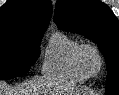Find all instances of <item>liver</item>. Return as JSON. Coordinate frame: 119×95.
<instances>
[{"label":"liver","mask_w":119,"mask_h":95,"mask_svg":"<svg viewBox=\"0 0 119 95\" xmlns=\"http://www.w3.org/2000/svg\"><path fill=\"white\" fill-rule=\"evenodd\" d=\"M49 87V92L56 95L72 94L76 88L66 84H55L50 88L45 78H35L17 86H10L5 81H0V95H41Z\"/></svg>","instance_id":"obj_1"}]
</instances>
